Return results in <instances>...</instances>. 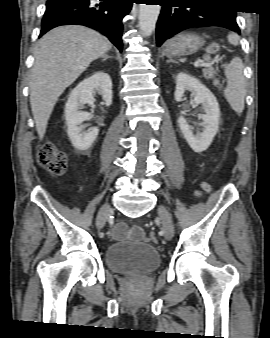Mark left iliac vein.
I'll return each instance as SVG.
<instances>
[{"label": "left iliac vein", "instance_id": "1", "mask_svg": "<svg viewBox=\"0 0 270 338\" xmlns=\"http://www.w3.org/2000/svg\"><path fill=\"white\" fill-rule=\"evenodd\" d=\"M157 212H158L159 217L162 220L163 235H164L166 240H171L173 238V235H174V226H173V222H172V217H171L170 213L168 212V210L163 205H160L158 207Z\"/></svg>", "mask_w": 270, "mask_h": 338}]
</instances>
